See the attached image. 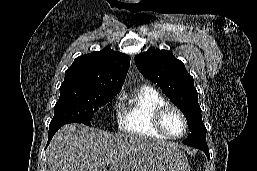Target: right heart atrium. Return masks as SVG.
<instances>
[{"label":"right heart atrium","instance_id":"right-heart-atrium-1","mask_svg":"<svg viewBox=\"0 0 257 171\" xmlns=\"http://www.w3.org/2000/svg\"><path fill=\"white\" fill-rule=\"evenodd\" d=\"M114 108H115V111L117 113V116L120 118V111H121V105H120V101L119 100H116L115 101V104H114Z\"/></svg>","mask_w":257,"mask_h":171}]
</instances>
